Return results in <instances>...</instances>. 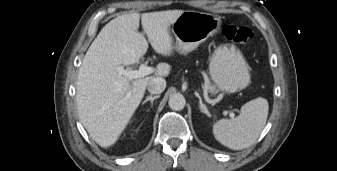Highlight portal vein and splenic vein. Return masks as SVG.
Segmentation results:
<instances>
[{"label": "portal vein and splenic vein", "mask_w": 337, "mask_h": 171, "mask_svg": "<svg viewBox=\"0 0 337 171\" xmlns=\"http://www.w3.org/2000/svg\"><path fill=\"white\" fill-rule=\"evenodd\" d=\"M117 71L120 75H123L124 77L128 78L129 80L141 78L144 76H147L149 74H152L155 70L152 67L147 66V64L143 63L140 65L138 70H125L123 66H118ZM231 118H234L235 114L231 112L229 114Z\"/></svg>", "instance_id": "1"}]
</instances>
